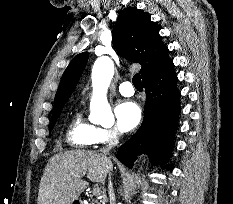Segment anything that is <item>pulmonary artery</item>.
<instances>
[{
	"label": "pulmonary artery",
	"instance_id": "obj_1",
	"mask_svg": "<svg viewBox=\"0 0 233 204\" xmlns=\"http://www.w3.org/2000/svg\"><path fill=\"white\" fill-rule=\"evenodd\" d=\"M119 92L126 97L134 95V88L129 81L122 82L118 87Z\"/></svg>",
	"mask_w": 233,
	"mask_h": 204
}]
</instances>
